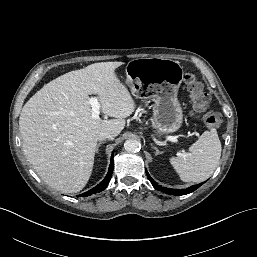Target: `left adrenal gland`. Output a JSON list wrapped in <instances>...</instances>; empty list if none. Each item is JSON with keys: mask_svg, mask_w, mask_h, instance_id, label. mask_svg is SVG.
I'll return each instance as SVG.
<instances>
[{"mask_svg": "<svg viewBox=\"0 0 257 257\" xmlns=\"http://www.w3.org/2000/svg\"><path fill=\"white\" fill-rule=\"evenodd\" d=\"M153 148H154V149H155V151H156V152H155V154H156V155H160V154H162V152H160V151L158 150V148H157V147H154V146H153Z\"/></svg>", "mask_w": 257, "mask_h": 257, "instance_id": "obj_1", "label": "left adrenal gland"}]
</instances>
